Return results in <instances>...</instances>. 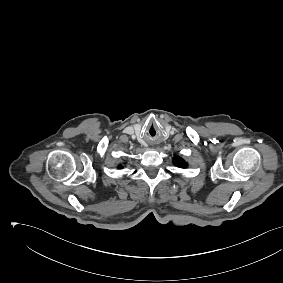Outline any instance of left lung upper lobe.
<instances>
[{
    "label": "left lung upper lobe",
    "instance_id": "left-lung-upper-lobe-1",
    "mask_svg": "<svg viewBox=\"0 0 283 283\" xmlns=\"http://www.w3.org/2000/svg\"><path fill=\"white\" fill-rule=\"evenodd\" d=\"M173 163L179 168H185L187 166L185 161L182 158H180L179 156L174 157Z\"/></svg>",
    "mask_w": 283,
    "mask_h": 283
}]
</instances>
